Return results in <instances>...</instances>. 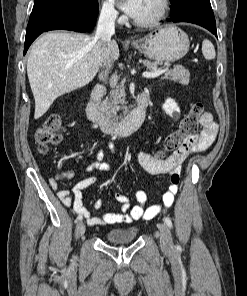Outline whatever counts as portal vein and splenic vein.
<instances>
[{"instance_id":"18ae733b","label":"portal vein and splenic vein","mask_w":247,"mask_h":296,"mask_svg":"<svg viewBox=\"0 0 247 296\" xmlns=\"http://www.w3.org/2000/svg\"><path fill=\"white\" fill-rule=\"evenodd\" d=\"M168 69H160V70H155L152 72H143V77L145 78H156L158 76H160L161 74H163L164 72H166Z\"/></svg>"}]
</instances>
